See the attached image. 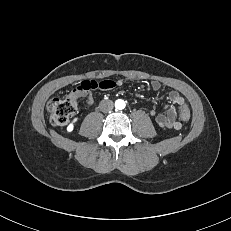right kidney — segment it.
<instances>
[{
  "label": "right kidney",
  "instance_id": "right-kidney-1",
  "mask_svg": "<svg viewBox=\"0 0 231 231\" xmlns=\"http://www.w3.org/2000/svg\"><path fill=\"white\" fill-rule=\"evenodd\" d=\"M77 119H74V121L73 122H75ZM73 129H74V125H73V123H70L69 125H68V127H67V131L68 132H71V131H73Z\"/></svg>",
  "mask_w": 231,
  "mask_h": 231
}]
</instances>
